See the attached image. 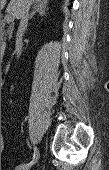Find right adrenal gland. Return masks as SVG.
Here are the masks:
<instances>
[{"label": "right adrenal gland", "instance_id": "1", "mask_svg": "<svg viewBox=\"0 0 109 170\" xmlns=\"http://www.w3.org/2000/svg\"><path fill=\"white\" fill-rule=\"evenodd\" d=\"M48 7L44 3H36L33 7V11L31 12L30 19L34 17L36 13L41 16H47Z\"/></svg>", "mask_w": 109, "mask_h": 170}]
</instances>
